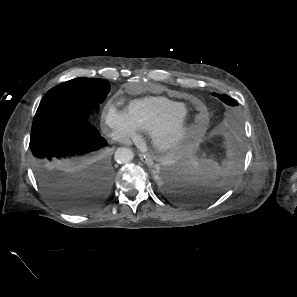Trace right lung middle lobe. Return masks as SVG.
<instances>
[{
    "label": "right lung middle lobe",
    "instance_id": "obj_1",
    "mask_svg": "<svg viewBox=\"0 0 297 297\" xmlns=\"http://www.w3.org/2000/svg\"><path fill=\"white\" fill-rule=\"evenodd\" d=\"M109 90V82L98 78H76L55 86L41 100L32 129L58 118L89 119L97 104L105 100Z\"/></svg>",
    "mask_w": 297,
    "mask_h": 297
}]
</instances>
